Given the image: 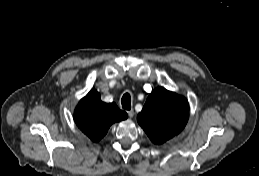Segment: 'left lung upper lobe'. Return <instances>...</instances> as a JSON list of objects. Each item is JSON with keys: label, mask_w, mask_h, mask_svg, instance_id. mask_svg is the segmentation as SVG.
I'll return each instance as SVG.
<instances>
[{"label": "left lung upper lobe", "mask_w": 259, "mask_h": 176, "mask_svg": "<svg viewBox=\"0 0 259 176\" xmlns=\"http://www.w3.org/2000/svg\"><path fill=\"white\" fill-rule=\"evenodd\" d=\"M188 117L187 99L158 87L147 98L137 119L151 141L162 144L183 130Z\"/></svg>", "instance_id": "1"}]
</instances>
